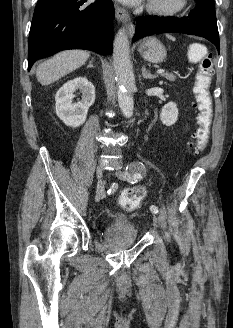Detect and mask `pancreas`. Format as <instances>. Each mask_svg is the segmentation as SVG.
Instances as JSON below:
<instances>
[{
    "mask_svg": "<svg viewBox=\"0 0 233 328\" xmlns=\"http://www.w3.org/2000/svg\"><path fill=\"white\" fill-rule=\"evenodd\" d=\"M161 76L172 82L176 80V77L171 73H162Z\"/></svg>",
    "mask_w": 233,
    "mask_h": 328,
    "instance_id": "obj_1",
    "label": "pancreas"
}]
</instances>
